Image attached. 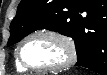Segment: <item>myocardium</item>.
I'll return each instance as SVG.
<instances>
[{
	"instance_id": "1",
	"label": "myocardium",
	"mask_w": 107,
	"mask_h": 75,
	"mask_svg": "<svg viewBox=\"0 0 107 75\" xmlns=\"http://www.w3.org/2000/svg\"><path fill=\"white\" fill-rule=\"evenodd\" d=\"M36 36H47L61 43L64 46L67 53L66 59L59 64L42 66V67L32 66L29 63H27L22 55L23 47L31 38ZM17 59L23 67L32 71H37V72L56 71L67 68L75 63V61L77 60V47L73 38L68 34L58 29L42 28L32 31L22 39V41L18 46Z\"/></svg>"
}]
</instances>
